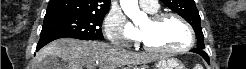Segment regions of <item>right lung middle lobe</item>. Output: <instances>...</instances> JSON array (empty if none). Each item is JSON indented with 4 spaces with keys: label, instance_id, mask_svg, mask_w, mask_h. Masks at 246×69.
Masks as SVG:
<instances>
[{
    "label": "right lung middle lobe",
    "instance_id": "right-lung-middle-lobe-1",
    "mask_svg": "<svg viewBox=\"0 0 246 69\" xmlns=\"http://www.w3.org/2000/svg\"><path fill=\"white\" fill-rule=\"evenodd\" d=\"M105 15H58L45 17L40 36H65L77 39H103Z\"/></svg>",
    "mask_w": 246,
    "mask_h": 69
}]
</instances>
